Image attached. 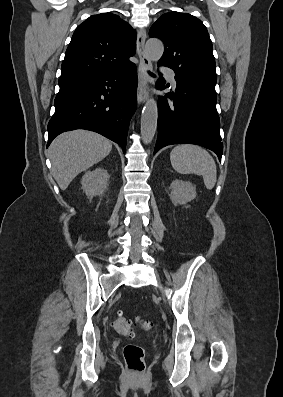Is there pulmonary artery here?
Returning <instances> with one entry per match:
<instances>
[{"mask_svg":"<svg viewBox=\"0 0 283 397\" xmlns=\"http://www.w3.org/2000/svg\"><path fill=\"white\" fill-rule=\"evenodd\" d=\"M162 72L169 76L172 84L176 86L175 73L168 68H162Z\"/></svg>","mask_w":283,"mask_h":397,"instance_id":"e3ab8cb5","label":"pulmonary artery"}]
</instances>
